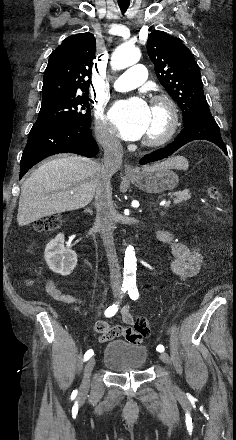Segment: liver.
<instances>
[{"mask_svg":"<svg viewBox=\"0 0 236 440\" xmlns=\"http://www.w3.org/2000/svg\"><path fill=\"white\" fill-rule=\"evenodd\" d=\"M182 157L153 167L181 168ZM151 168V167H145ZM101 165L80 156H64L41 165L21 186L17 221L26 226L41 218L88 205L100 179Z\"/></svg>","mask_w":236,"mask_h":440,"instance_id":"1","label":"liver"}]
</instances>
